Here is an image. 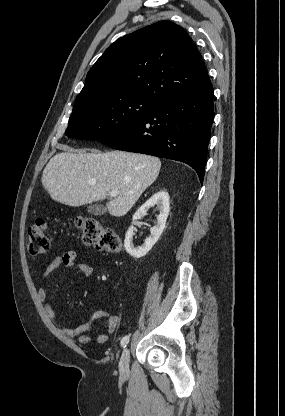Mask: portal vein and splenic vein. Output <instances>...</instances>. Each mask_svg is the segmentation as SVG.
Wrapping results in <instances>:
<instances>
[{"label": "portal vein and splenic vein", "mask_w": 285, "mask_h": 416, "mask_svg": "<svg viewBox=\"0 0 285 416\" xmlns=\"http://www.w3.org/2000/svg\"><path fill=\"white\" fill-rule=\"evenodd\" d=\"M110 196H112V198H115V196H118L117 190H111Z\"/></svg>", "instance_id": "portal-vein-and-splenic-vein-1"}]
</instances>
